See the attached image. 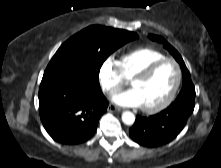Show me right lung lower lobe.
Listing matches in <instances>:
<instances>
[{
  "label": "right lung lower lobe",
  "mask_w": 221,
  "mask_h": 168,
  "mask_svg": "<svg viewBox=\"0 0 221 168\" xmlns=\"http://www.w3.org/2000/svg\"><path fill=\"white\" fill-rule=\"evenodd\" d=\"M107 107L98 77L81 68H46L39 88V113L55 141L69 145L87 141Z\"/></svg>",
  "instance_id": "98d812e1"
}]
</instances>
